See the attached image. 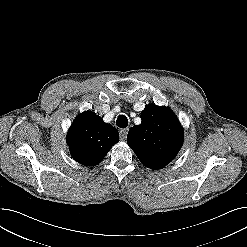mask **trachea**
<instances>
[{"mask_svg": "<svg viewBox=\"0 0 247 247\" xmlns=\"http://www.w3.org/2000/svg\"><path fill=\"white\" fill-rule=\"evenodd\" d=\"M116 125L120 128H125L128 126V119L125 115H119L116 120Z\"/></svg>", "mask_w": 247, "mask_h": 247, "instance_id": "obj_1", "label": "trachea"}]
</instances>
